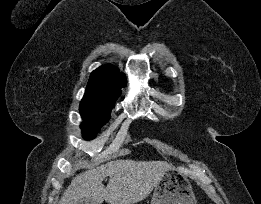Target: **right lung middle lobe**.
I'll return each mask as SVG.
<instances>
[{
	"instance_id": "right-lung-middle-lobe-1",
	"label": "right lung middle lobe",
	"mask_w": 261,
	"mask_h": 204,
	"mask_svg": "<svg viewBox=\"0 0 261 204\" xmlns=\"http://www.w3.org/2000/svg\"><path fill=\"white\" fill-rule=\"evenodd\" d=\"M113 107L80 104V113L84 119V122L81 124L84 139L91 140L95 138L99 127L109 120L110 111Z\"/></svg>"
}]
</instances>
